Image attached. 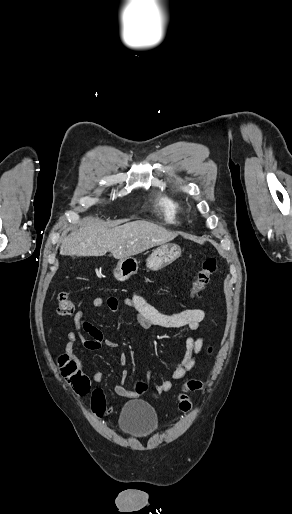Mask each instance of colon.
I'll return each instance as SVG.
<instances>
[{
  "label": "colon",
  "mask_w": 292,
  "mask_h": 514,
  "mask_svg": "<svg viewBox=\"0 0 292 514\" xmlns=\"http://www.w3.org/2000/svg\"><path fill=\"white\" fill-rule=\"evenodd\" d=\"M218 267V261L215 258L206 259L202 266L199 268L193 286L191 288L192 296H196L203 292L209 284L211 277L215 274ZM57 309L59 315L68 317L74 313L75 304L69 294L61 292L57 295ZM59 367L62 375L66 378L70 387L81 397H87L91 391V383L89 377L83 373L78 364L71 360L67 355H60L58 358ZM202 388V384L198 380H189L183 389L186 395H189L192 390L198 391ZM135 390L138 393H143L147 390V384L140 381L136 384ZM91 399L95 404L93 412L97 420L104 418L106 411V399L104 395L95 390L91 394ZM178 407L182 411H188L191 408V402L185 396H178L176 399Z\"/></svg>",
  "instance_id": "1"
}]
</instances>
